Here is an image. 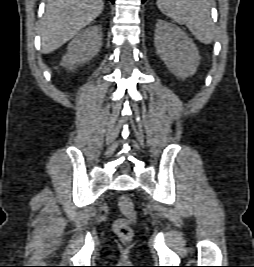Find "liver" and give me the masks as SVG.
Segmentation results:
<instances>
[{
	"mask_svg": "<svg viewBox=\"0 0 254 267\" xmlns=\"http://www.w3.org/2000/svg\"><path fill=\"white\" fill-rule=\"evenodd\" d=\"M103 9V0H47L40 27L42 53H51L67 43Z\"/></svg>",
	"mask_w": 254,
	"mask_h": 267,
	"instance_id": "6515ba94",
	"label": "liver"
}]
</instances>
